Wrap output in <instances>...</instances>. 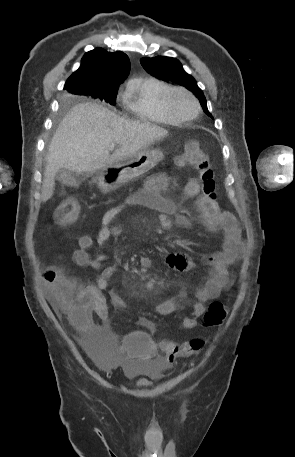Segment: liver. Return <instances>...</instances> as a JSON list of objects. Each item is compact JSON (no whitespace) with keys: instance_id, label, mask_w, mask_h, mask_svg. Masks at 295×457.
<instances>
[{"instance_id":"liver-1","label":"liver","mask_w":295,"mask_h":457,"mask_svg":"<svg viewBox=\"0 0 295 457\" xmlns=\"http://www.w3.org/2000/svg\"><path fill=\"white\" fill-rule=\"evenodd\" d=\"M168 131L149 122L129 121L95 103H80L63 118L49 146L42 201L54 192L60 169L75 173L100 170L166 137ZM112 143L118 148L110 155Z\"/></svg>"}]
</instances>
